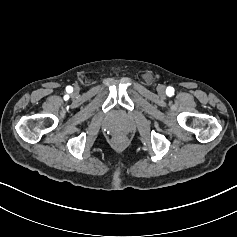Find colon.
Wrapping results in <instances>:
<instances>
[{
  "label": "colon",
  "mask_w": 237,
  "mask_h": 237,
  "mask_svg": "<svg viewBox=\"0 0 237 237\" xmlns=\"http://www.w3.org/2000/svg\"><path fill=\"white\" fill-rule=\"evenodd\" d=\"M118 143L119 144H124L125 143V139H123V138L118 139Z\"/></svg>",
  "instance_id": "5ec220e1"
}]
</instances>
